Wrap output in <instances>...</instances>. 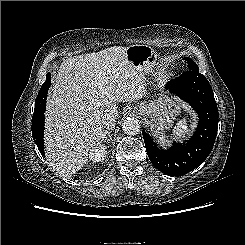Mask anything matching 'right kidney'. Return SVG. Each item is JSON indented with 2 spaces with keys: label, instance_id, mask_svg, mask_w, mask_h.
Masks as SVG:
<instances>
[{
  "label": "right kidney",
  "instance_id": "obj_1",
  "mask_svg": "<svg viewBox=\"0 0 245 245\" xmlns=\"http://www.w3.org/2000/svg\"><path fill=\"white\" fill-rule=\"evenodd\" d=\"M106 154H107V147L104 145H98L90 151L89 157L90 160L96 163V162L103 161L106 157Z\"/></svg>",
  "mask_w": 245,
  "mask_h": 245
}]
</instances>
